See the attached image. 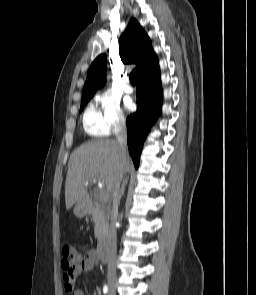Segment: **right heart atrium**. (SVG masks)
Returning a JSON list of instances; mask_svg holds the SVG:
<instances>
[{"label":"right heart atrium","mask_w":256,"mask_h":295,"mask_svg":"<svg viewBox=\"0 0 256 295\" xmlns=\"http://www.w3.org/2000/svg\"><path fill=\"white\" fill-rule=\"evenodd\" d=\"M95 101L99 105L102 123L107 134L125 126V115L116 98L108 92H103L95 97Z\"/></svg>","instance_id":"d8ad5b80"}]
</instances>
